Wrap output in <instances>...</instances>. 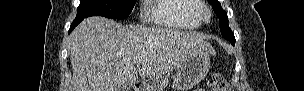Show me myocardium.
Here are the masks:
<instances>
[{
	"mask_svg": "<svg viewBox=\"0 0 304 91\" xmlns=\"http://www.w3.org/2000/svg\"><path fill=\"white\" fill-rule=\"evenodd\" d=\"M212 12L211 10L206 7L205 5H202L197 10V18L202 23H208L211 20Z\"/></svg>",
	"mask_w": 304,
	"mask_h": 91,
	"instance_id": "obj_1",
	"label": "myocardium"
}]
</instances>
